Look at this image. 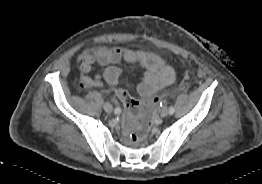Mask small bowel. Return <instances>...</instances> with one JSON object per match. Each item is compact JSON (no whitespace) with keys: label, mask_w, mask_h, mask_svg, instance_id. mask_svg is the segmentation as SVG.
<instances>
[{"label":"small bowel","mask_w":262,"mask_h":184,"mask_svg":"<svg viewBox=\"0 0 262 184\" xmlns=\"http://www.w3.org/2000/svg\"><path fill=\"white\" fill-rule=\"evenodd\" d=\"M80 63L82 84L84 87H99L103 81L115 86L119 83L122 71L117 66L121 61H126L136 68L143 70L144 75L137 85L138 93L150 96L159 89L170 85L175 79L172 67L164 65L161 57L156 54L136 51L126 48L99 47L88 49L77 56ZM95 63L104 68L96 69ZM96 71L94 75H89Z\"/></svg>","instance_id":"c3829d8e"}]
</instances>
